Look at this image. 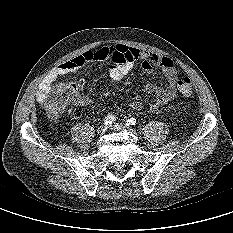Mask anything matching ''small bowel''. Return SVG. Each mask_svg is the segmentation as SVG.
I'll use <instances>...</instances> for the list:
<instances>
[{"label": "small bowel", "mask_w": 233, "mask_h": 233, "mask_svg": "<svg viewBox=\"0 0 233 233\" xmlns=\"http://www.w3.org/2000/svg\"><path fill=\"white\" fill-rule=\"evenodd\" d=\"M95 61H111L109 75L114 82L122 80L131 70L134 62L140 61L143 69L149 77L152 75L153 68L158 66L162 69L166 79V86L158 87L149 81L145 86L148 94H154L156 101L150 106V110H156L158 107L171 102L178 92L179 76L174 62L165 56H160L147 51H141L137 48L118 44L114 47H101L97 50H88L80 55L61 63L55 68L50 81L45 82L37 93L39 102L46 104L53 91L52 82L58 77L77 72L84 64ZM76 104L86 106L91 105L92 100L82 94H79L74 100ZM134 110H140L142 104L134 100L130 104Z\"/></svg>", "instance_id": "c3829d8e"}]
</instances>
